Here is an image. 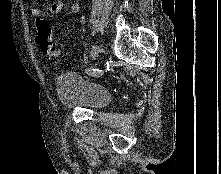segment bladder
Instances as JSON below:
<instances>
[{
	"label": "bladder",
	"mask_w": 221,
	"mask_h": 174,
	"mask_svg": "<svg viewBox=\"0 0 221 174\" xmlns=\"http://www.w3.org/2000/svg\"><path fill=\"white\" fill-rule=\"evenodd\" d=\"M56 95L66 109L99 110L108 105L110 92L102 85L75 72L60 74L55 81Z\"/></svg>",
	"instance_id": "bladder-1"
}]
</instances>
